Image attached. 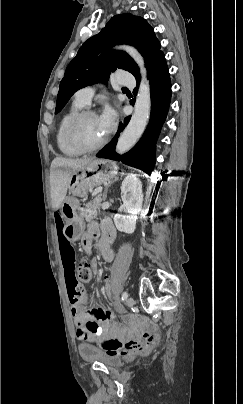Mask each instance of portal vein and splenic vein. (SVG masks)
<instances>
[{
    "instance_id": "1",
    "label": "portal vein and splenic vein",
    "mask_w": 243,
    "mask_h": 404,
    "mask_svg": "<svg viewBox=\"0 0 243 404\" xmlns=\"http://www.w3.org/2000/svg\"><path fill=\"white\" fill-rule=\"evenodd\" d=\"M103 188H96V190H94L92 196H96V194H99V192H102Z\"/></svg>"
}]
</instances>
